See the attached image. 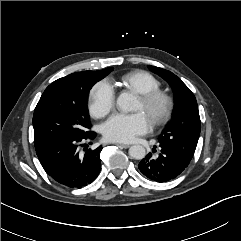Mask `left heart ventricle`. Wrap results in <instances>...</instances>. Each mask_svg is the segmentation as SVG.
Instances as JSON below:
<instances>
[{"instance_id":"obj_1","label":"left heart ventricle","mask_w":241,"mask_h":241,"mask_svg":"<svg viewBox=\"0 0 241 241\" xmlns=\"http://www.w3.org/2000/svg\"><path fill=\"white\" fill-rule=\"evenodd\" d=\"M134 110H135V111H142V112H144V113L148 116V114H147L146 111L144 110V106H143L142 102H141L139 99H137V102H136V104H135ZM148 117H149V116H148ZM149 118H150V117H149Z\"/></svg>"}]
</instances>
